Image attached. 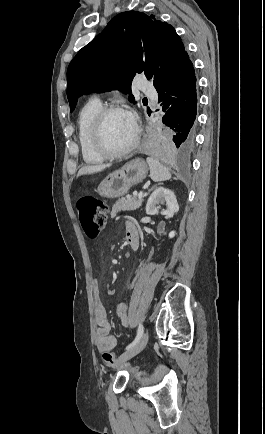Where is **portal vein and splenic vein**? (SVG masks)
<instances>
[{"label":"portal vein and splenic vein","mask_w":265,"mask_h":434,"mask_svg":"<svg viewBox=\"0 0 265 434\" xmlns=\"http://www.w3.org/2000/svg\"><path fill=\"white\" fill-rule=\"evenodd\" d=\"M138 198H139V200H141V198H143L142 192H140V194H138Z\"/></svg>","instance_id":"1"}]
</instances>
